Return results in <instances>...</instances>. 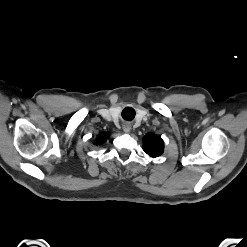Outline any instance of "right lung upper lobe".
<instances>
[{"label": "right lung upper lobe", "mask_w": 247, "mask_h": 247, "mask_svg": "<svg viewBox=\"0 0 247 247\" xmlns=\"http://www.w3.org/2000/svg\"><path fill=\"white\" fill-rule=\"evenodd\" d=\"M105 139H106L105 136H100V137L97 138L96 142H97V143H102V142L105 141Z\"/></svg>", "instance_id": "right-lung-upper-lobe-1"}]
</instances>
